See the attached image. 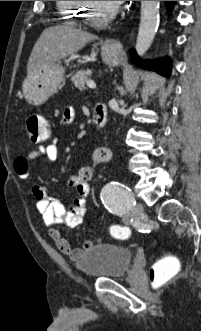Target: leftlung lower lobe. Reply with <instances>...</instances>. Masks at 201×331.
Returning a JSON list of instances; mask_svg holds the SVG:
<instances>
[{"instance_id":"0a47b994","label":"left lung lower lobe","mask_w":201,"mask_h":331,"mask_svg":"<svg viewBox=\"0 0 201 331\" xmlns=\"http://www.w3.org/2000/svg\"><path fill=\"white\" fill-rule=\"evenodd\" d=\"M176 1H167L168 8L171 9ZM131 58L134 63H136L138 66L154 70L158 72L161 75L169 76L171 72V64L170 62L166 60H159V61H153V62H143L141 61L138 56L136 55V52L133 50L131 52Z\"/></svg>"}]
</instances>
